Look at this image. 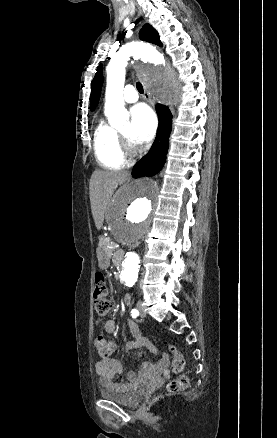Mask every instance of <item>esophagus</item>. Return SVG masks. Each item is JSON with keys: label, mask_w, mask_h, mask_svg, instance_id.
Returning <instances> with one entry per match:
<instances>
[{"label": "esophagus", "mask_w": 277, "mask_h": 438, "mask_svg": "<svg viewBox=\"0 0 277 438\" xmlns=\"http://www.w3.org/2000/svg\"><path fill=\"white\" fill-rule=\"evenodd\" d=\"M165 70L168 71V67H166ZM143 96H144L145 100H148V101L152 102V100H151V98L149 96V93H148V91L146 89H144Z\"/></svg>", "instance_id": "esophagus-1"}]
</instances>
